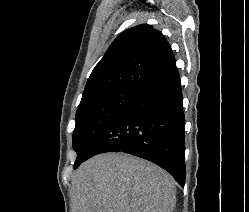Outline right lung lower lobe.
Returning <instances> with one entry per match:
<instances>
[{
  "label": "right lung lower lobe",
  "instance_id": "right-lung-lower-lobe-1",
  "mask_svg": "<svg viewBox=\"0 0 249 212\" xmlns=\"http://www.w3.org/2000/svg\"><path fill=\"white\" fill-rule=\"evenodd\" d=\"M184 126L178 71L140 92L108 125L86 160L103 152H124L167 170L184 186Z\"/></svg>",
  "mask_w": 249,
  "mask_h": 212
}]
</instances>
